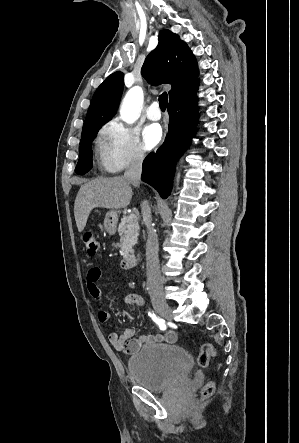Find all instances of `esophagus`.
<instances>
[{
  "instance_id": "esophagus-1",
  "label": "esophagus",
  "mask_w": 299,
  "mask_h": 443,
  "mask_svg": "<svg viewBox=\"0 0 299 443\" xmlns=\"http://www.w3.org/2000/svg\"><path fill=\"white\" fill-rule=\"evenodd\" d=\"M166 134H167V131H165V133H164L162 142L165 140Z\"/></svg>"
}]
</instances>
